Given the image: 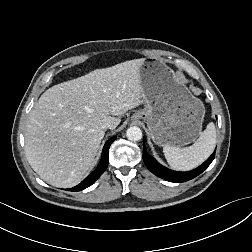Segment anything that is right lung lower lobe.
Wrapping results in <instances>:
<instances>
[{"label": "right lung lower lobe", "instance_id": "right-lung-lower-lobe-1", "mask_svg": "<svg viewBox=\"0 0 252 252\" xmlns=\"http://www.w3.org/2000/svg\"><path fill=\"white\" fill-rule=\"evenodd\" d=\"M116 139V137H112L111 139H109L104 147H103V151H102V158L97 166V168L88 176L86 177L79 185L68 189L70 191H81L87 187H89L90 185H92L102 174L103 172L106 170L107 166H108V153H109V147L110 145L114 142V140Z\"/></svg>", "mask_w": 252, "mask_h": 252}]
</instances>
